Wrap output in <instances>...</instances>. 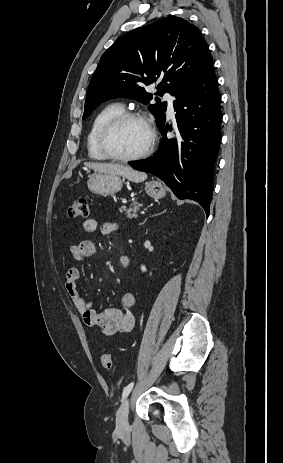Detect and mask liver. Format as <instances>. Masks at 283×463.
<instances>
[{
  "label": "liver",
  "instance_id": "6515ba94",
  "mask_svg": "<svg viewBox=\"0 0 283 463\" xmlns=\"http://www.w3.org/2000/svg\"><path fill=\"white\" fill-rule=\"evenodd\" d=\"M84 165L98 173L122 176L135 183L142 182L147 178L146 173L136 171L131 167L122 164L88 162L84 163Z\"/></svg>",
  "mask_w": 283,
  "mask_h": 463
}]
</instances>
